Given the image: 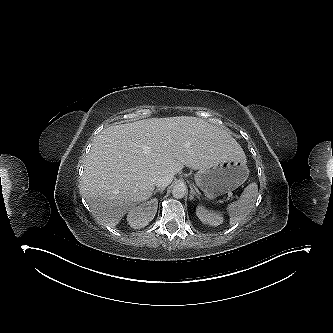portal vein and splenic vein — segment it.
I'll use <instances>...</instances> for the list:
<instances>
[{"label": "portal vein and splenic vein", "mask_w": 333, "mask_h": 333, "mask_svg": "<svg viewBox=\"0 0 333 333\" xmlns=\"http://www.w3.org/2000/svg\"><path fill=\"white\" fill-rule=\"evenodd\" d=\"M228 196L231 197V196H232V193H231V192H228Z\"/></svg>", "instance_id": "1"}]
</instances>
